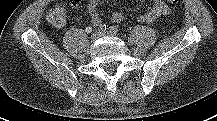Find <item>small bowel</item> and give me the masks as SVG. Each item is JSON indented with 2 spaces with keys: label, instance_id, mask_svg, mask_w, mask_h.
I'll list each match as a JSON object with an SVG mask.
<instances>
[{
  "label": "small bowel",
  "instance_id": "small-bowel-1",
  "mask_svg": "<svg viewBox=\"0 0 217 121\" xmlns=\"http://www.w3.org/2000/svg\"><path fill=\"white\" fill-rule=\"evenodd\" d=\"M100 0H88L86 8L90 16V20L94 26L102 25V20L97 12V6ZM143 1V0H137ZM78 4L77 0H73L71 5L76 7ZM169 13V7L165 4L164 0H154L153 6L146 13L139 15L137 18L139 21L144 23H151L159 16H164ZM124 15L120 12L113 13L111 21L119 23L123 21Z\"/></svg>",
  "mask_w": 217,
  "mask_h": 121
}]
</instances>
